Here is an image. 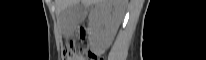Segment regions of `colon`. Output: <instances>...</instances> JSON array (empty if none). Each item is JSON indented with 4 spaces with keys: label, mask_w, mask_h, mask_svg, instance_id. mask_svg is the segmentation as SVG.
Instances as JSON below:
<instances>
[{
    "label": "colon",
    "mask_w": 206,
    "mask_h": 60,
    "mask_svg": "<svg viewBox=\"0 0 206 60\" xmlns=\"http://www.w3.org/2000/svg\"><path fill=\"white\" fill-rule=\"evenodd\" d=\"M85 38V30L81 28L78 32V37L76 39H70L67 41L64 56L67 60H90L96 59L92 53L87 52L83 45L82 40Z\"/></svg>",
    "instance_id": "5ec220e1"
}]
</instances>
